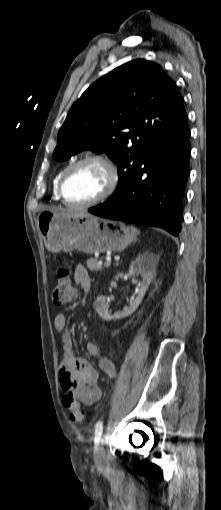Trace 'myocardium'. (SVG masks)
Returning a JSON list of instances; mask_svg holds the SVG:
<instances>
[{
	"instance_id": "obj_1",
	"label": "myocardium",
	"mask_w": 221,
	"mask_h": 510,
	"mask_svg": "<svg viewBox=\"0 0 221 510\" xmlns=\"http://www.w3.org/2000/svg\"><path fill=\"white\" fill-rule=\"evenodd\" d=\"M89 162L98 163L106 170L108 180L105 188L98 196L87 202L74 203L68 201L64 193V185L68 174L77 166ZM118 182H119L118 169L110 157L103 154H89L73 161L63 170L59 179L57 191L59 198L66 206L72 208H89L108 199L115 192Z\"/></svg>"
}]
</instances>
